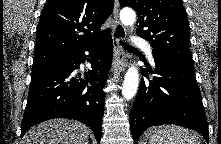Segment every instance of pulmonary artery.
Masks as SVG:
<instances>
[{
	"label": "pulmonary artery",
	"instance_id": "pulmonary-artery-1",
	"mask_svg": "<svg viewBox=\"0 0 221 144\" xmlns=\"http://www.w3.org/2000/svg\"><path fill=\"white\" fill-rule=\"evenodd\" d=\"M132 42L135 46L142 48L146 52L150 61L153 62L152 46L149 42L137 36L133 37Z\"/></svg>",
	"mask_w": 221,
	"mask_h": 144
}]
</instances>
